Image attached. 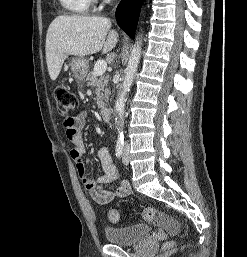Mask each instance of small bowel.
I'll list each match as a JSON object with an SVG mask.
<instances>
[{
  "label": "small bowel",
  "instance_id": "1",
  "mask_svg": "<svg viewBox=\"0 0 247 257\" xmlns=\"http://www.w3.org/2000/svg\"><path fill=\"white\" fill-rule=\"evenodd\" d=\"M86 112L73 116L69 124H64L67 139L73 145L70 156L75 163L77 173L83 186L89 191L91 197L101 205L111 203L116 197H126L131 193V187L127 181H121L114 187L105 186L118 179V170L114 163L111 152L106 147H101L97 156L103 168V175L96 179L88 177L83 155L86 152L81 130L86 123ZM154 211V210H153ZM155 213V212H154ZM156 223L165 227L166 230L173 233L178 229L177 223L164 213H155Z\"/></svg>",
  "mask_w": 247,
  "mask_h": 257
}]
</instances>
